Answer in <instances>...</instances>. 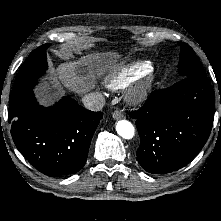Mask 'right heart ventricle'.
Segmentation results:
<instances>
[{"label":"right heart ventricle","instance_id":"obj_1","mask_svg":"<svg viewBox=\"0 0 221 221\" xmlns=\"http://www.w3.org/2000/svg\"><path fill=\"white\" fill-rule=\"evenodd\" d=\"M149 69L150 65L147 62H135L121 67L106 78L105 85L112 90L122 89L145 74Z\"/></svg>","mask_w":221,"mask_h":221}]
</instances>
